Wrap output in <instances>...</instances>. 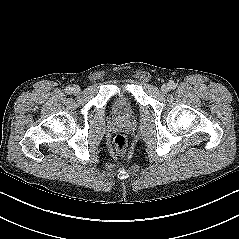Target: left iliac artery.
<instances>
[{
	"label": "left iliac artery",
	"instance_id": "44dca946",
	"mask_svg": "<svg viewBox=\"0 0 239 239\" xmlns=\"http://www.w3.org/2000/svg\"><path fill=\"white\" fill-rule=\"evenodd\" d=\"M169 87H170L171 89H175V88H176V85H175L174 81H170V82H169Z\"/></svg>",
	"mask_w": 239,
	"mask_h": 239
}]
</instances>
